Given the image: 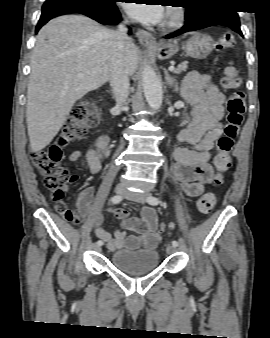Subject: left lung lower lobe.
Returning <instances> with one entry per match:
<instances>
[{
  "mask_svg": "<svg viewBox=\"0 0 270 338\" xmlns=\"http://www.w3.org/2000/svg\"><path fill=\"white\" fill-rule=\"evenodd\" d=\"M217 25L230 27L242 35L237 11L222 7L202 15L193 22H186V24L180 30L166 35L165 38L169 39L185 32L195 31Z\"/></svg>",
  "mask_w": 270,
  "mask_h": 338,
  "instance_id": "0a47b994",
  "label": "left lung lower lobe"
}]
</instances>
